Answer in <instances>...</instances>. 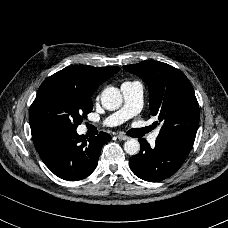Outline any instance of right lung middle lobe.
Returning <instances> with one entry per match:
<instances>
[{
	"label": "right lung middle lobe",
	"mask_w": 228,
	"mask_h": 228,
	"mask_svg": "<svg viewBox=\"0 0 228 228\" xmlns=\"http://www.w3.org/2000/svg\"><path fill=\"white\" fill-rule=\"evenodd\" d=\"M92 108L90 94L71 81L50 76L41 84L30 108L31 134L76 130Z\"/></svg>",
	"instance_id": "dd1d6c3e"
}]
</instances>
